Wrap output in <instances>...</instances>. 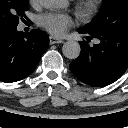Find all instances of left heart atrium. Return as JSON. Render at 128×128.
I'll list each match as a JSON object with an SVG mask.
<instances>
[{
	"label": "left heart atrium",
	"instance_id": "39dd6f15",
	"mask_svg": "<svg viewBox=\"0 0 128 128\" xmlns=\"http://www.w3.org/2000/svg\"><path fill=\"white\" fill-rule=\"evenodd\" d=\"M37 23L52 34H64L74 23L71 15L67 13L48 12L38 17Z\"/></svg>",
	"mask_w": 128,
	"mask_h": 128
}]
</instances>
